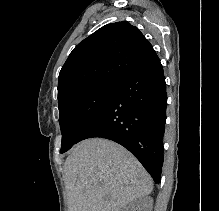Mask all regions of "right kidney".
<instances>
[{"mask_svg":"<svg viewBox=\"0 0 219 211\" xmlns=\"http://www.w3.org/2000/svg\"><path fill=\"white\" fill-rule=\"evenodd\" d=\"M152 207L153 199L150 195H146V197H135L126 211H152Z\"/></svg>","mask_w":219,"mask_h":211,"instance_id":"1","label":"right kidney"}]
</instances>
